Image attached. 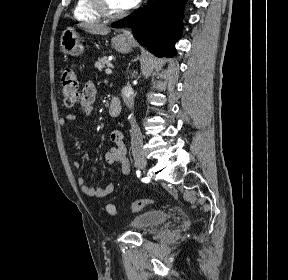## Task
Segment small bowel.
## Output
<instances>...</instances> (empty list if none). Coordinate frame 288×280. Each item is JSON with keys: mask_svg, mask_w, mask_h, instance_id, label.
Returning <instances> with one entry per match:
<instances>
[{"mask_svg": "<svg viewBox=\"0 0 288 280\" xmlns=\"http://www.w3.org/2000/svg\"><path fill=\"white\" fill-rule=\"evenodd\" d=\"M96 87L92 82H87L84 86L80 98H79V113L82 115H90L93 109V103L96 98ZM77 116L75 114H68L60 119V125L63 127L68 126L70 123L76 121ZM110 139L115 144L105 153V162L107 164L119 163L121 171L124 176L129 174V162L126 157V147L123 143V134L120 130H113L110 133ZM76 168L80 167L78 161L74 162ZM90 170L93 175L97 176L98 170L94 164H91ZM77 184L81 191L91 197L105 198L110 195L114 190V184L109 183L103 187H91L86 184V179L83 176L77 178Z\"/></svg>", "mask_w": 288, "mask_h": 280, "instance_id": "c3829d8e", "label": "small bowel"}]
</instances>
